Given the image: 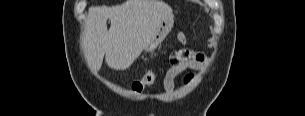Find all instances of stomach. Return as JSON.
<instances>
[{"instance_id":"stomach-1","label":"stomach","mask_w":305,"mask_h":116,"mask_svg":"<svg viewBox=\"0 0 305 116\" xmlns=\"http://www.w3.org/2000/svg\"><path fill=\"white\" fill-rule=\"evenodd\" d=\"M174 24V17L173 15L165 18L162 23L159 25L155 35L149 41V43L144 47L145 52H152L154 51L166 38V36L171 31Z\"/></svg>"}]
</instances>
